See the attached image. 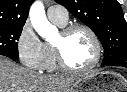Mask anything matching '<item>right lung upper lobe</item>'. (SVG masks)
Returning <instances> with one entry per match:
<instances>
[{
  "mask_svg": "<svg viewBox=\"0 0 127 92\" xmlns=\"http://www.w3.org/2000/svg\"><path fill=\"white\" fill-rule=\"evenodd\" d=\"M34 0H0V26H24Z\"/></svg>",
  "mask_w": 127,
  "mask_h": 92,
  "instance_id": "obj_1",
  "label": "right lung upper lobe"
}]
</instances>
